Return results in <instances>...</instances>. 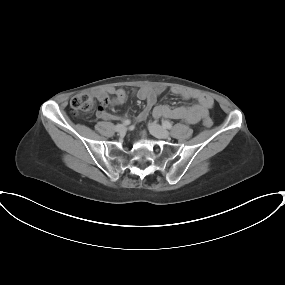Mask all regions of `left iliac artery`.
<instances>
[{"label":"left iliac artery","mask_w":285,"mask_h":285,"mask_svg":"<svg viewBox=\"0 0 285 285\" xmlns=\"http://www.w3.org/2000/svg\"><path fill=\"white\" fill-rule=\"evenodd\" d=\"M162 125L167 128V129H171L172 128V124L169 121H163Z\"/></svg>","instance_id":"44dca946"}]
</instances>
